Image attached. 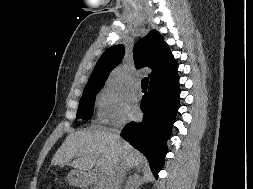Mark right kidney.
I'll list each match as a JSON object with an SVG mask.
<instances>
[{
    "label": "right kidney",
    "instance_id": "1",
    "mask_svg": "<svg viewBox=\"0 0 253 189\" xmlns=\"http://www.w3.org/2000/svg\"><path fill=\"white\" fill-rule=\"evenodd\" d=\"M139 177L137 175H134V177L131 179L129 178V182L127 183L128 189H134V186L138 183Z\"/></svg>",
    "mask_w": 253,
    "mask_h": 189
}]
</instances>
